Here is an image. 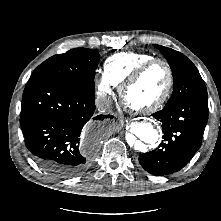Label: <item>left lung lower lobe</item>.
I'll return each instance as SVG.
<instances>
[{"mask_svg": "<svg viewBox=\"0 0 221 221\" xmlns=\"http://www.w3.org/2000/svg\"><path fill=\"white\" fill-rule=\"evenodd\" d=\"M161 122L163 139L158 148L139 156L148 173L163 176L181 170L201 146L208 121V97L191 96L166 104L153 115Z\"/></svg>", "mask_w": 221, "mask_h": 221, "instance_id": "obj_1", "label": "left lung lower lobe"}]
</instances>
